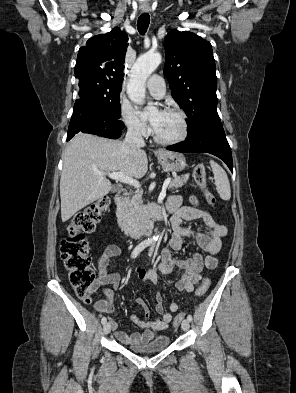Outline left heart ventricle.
I'll return each instance as SVG.
<instances>
[{
    "label": "left heart ventricle",
    "mask_w": 296,
    "mask_h": 393,
    "mask_svg": "<svg viewBox=\"0 0 296 393\" xmlns=\"http://www.w3.org/2000/svg\"><path fill=\"white\" fill-rule=\"evenodd\" d=\"M152 123H155L156 134L162 139H174L181 134V119L177 114L164 112L162 115L155 112L151 116Z\"/></svg>",
    "instance_id": "1"
}]
</instances>
